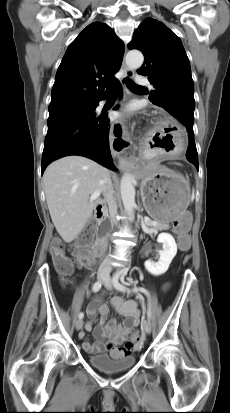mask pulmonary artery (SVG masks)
<instances>
[{
  "mask_svg": "<svg viewBox=\"0 0 230 413\" xmlns=\"http://www.w3.org/2000/svg\"><path fill=\"white\" fill-rule=\"evenodd\" d=\"M137 83L141 85H148L149 79L146 76L140 75L137 77Z\"/></svg>",
  "mask_w": 230,
  "mask_h": 413,
  "instance_id": "e3ab8cb5",
  "label": "pulmonary artery"
}]
</instances>
